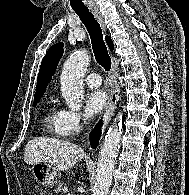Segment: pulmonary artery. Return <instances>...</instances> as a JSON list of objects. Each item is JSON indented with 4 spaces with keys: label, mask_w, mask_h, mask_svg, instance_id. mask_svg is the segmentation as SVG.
Instances as JSON below:
<instances>
[{
    "label": "pulmonary artery",
    "mask_w": 189,
    "mask_h": 195,
    "mask_svg": "<svg viewBox=\"0 0 189 195\" xmlns=\"http://www.w3.org/2000/svg\"><path fill=\"white\" fill-rule=\"evenodd\" d=\"M101 77L98 73H89L85 77V83L91 88H98L101 85Z\"/></svg>",
    "instance_id": "obj_1"
}]
</instances>
